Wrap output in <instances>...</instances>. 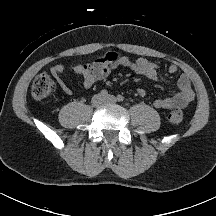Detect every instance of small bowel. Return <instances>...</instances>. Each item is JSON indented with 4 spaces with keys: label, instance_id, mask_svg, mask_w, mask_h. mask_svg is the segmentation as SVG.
<instances>
[{
    "label": "small bowel",
    "instance_id": "c3829d8e",
    "mask_svg": "<svg viewBox=\"0 0 216 216\" xmlns=\"http://www.w3.org/2000/svg\"><path fill=\"white\" fill-rule=\"evenodd\" d=\"M120 66L127 67L135 73L153 81L166 84L173 83L161 72L156 63L151 62L145 57L131 59L116 52H107L105 55L98 57L93 62L86 63L85 65L78 63L69 64V67L82 78V85L86 89L93 87L97 82L108 77L114 69ZM63 72V64H56L50 68L51 75L56 79L62 91L67 95H72L74 90L65 81ZM177 72L178 66L176 64H171L168 67V74L174 75ZM175 85L178 88V92L169 97L156 99L154 101L155 108L163 110L185 108L194 101V91L190 79L186 74H182L175 81ZM137 93L140 96L146 95V91L143 88H138Z\"/></svg>",
    "mask_w": 216,
    "mask_h": 216
}]
</instances>
